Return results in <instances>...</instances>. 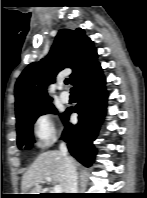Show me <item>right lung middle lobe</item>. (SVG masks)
<instances>
[{"label":"right lung middle lobe","instance_id":"right-lung-middle-lobe-1","mask_svg":"<svg viewBox=\"0 0 147 198\" xmlns=\"http://www.w3.org/2000/svg\"><path fill=\"white\" fill-rule=\"evenodd\" d=\"M47 113H57L56 109L53 107L52 104L47 105L29 114L28 116L24 117L22 120L17 122V144L19 149H30V147L34 143L33 124L40 115ZM60 116L64 122L66 112L62 113Z\"/></svg>","mask_w":147,"mask_h":198}]
</instances>
